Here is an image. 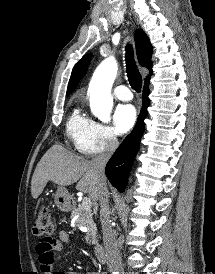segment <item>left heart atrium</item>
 <instances>
[{"instance_id":"left-heart-atrium-1","label":"left heart atrium","mask_w":215,"mask_h":274,"mask_svg":"<svg viewBox=\"0 0 215 274\" xmlns=\"http://www.w3.org/2000/svg\"><path fill=\"white\" fill-rule=\"evenodd\" d=\"M136 110L132 105H119L114 112V124L120 134L130 131L136 122Z\"/></svg>"}]
</instances>
